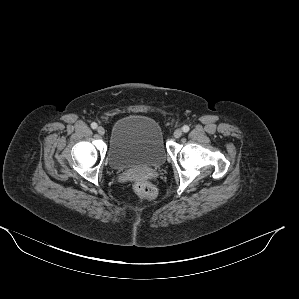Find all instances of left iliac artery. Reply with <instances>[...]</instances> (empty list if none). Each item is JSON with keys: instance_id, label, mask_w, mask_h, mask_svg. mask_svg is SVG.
I'll list each match as a JSON object with an SVG mask.
<instances>
[{"instance_id": "left-iliac-artery-1", "label": "left iliac artery", "mask_w": 299, "mask_h": 299, "mask_svg": "<svg viewBox=\"0 0 299 299\" xmlns=\"http://www.w3.org/2000/svg\"><path fill=\"white\" fill-rule=\"evenodd\" d=\"M189 126H187V125H184L183 127H182V130H183V132H188L189 131Z\"/></svg>"}]
</instances>
